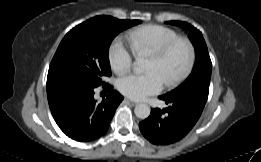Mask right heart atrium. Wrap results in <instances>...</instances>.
<instances>
[{"label":"right heart atrium","mask_w":261,"mask_h":162,"mask_svg":"<svg viewBox=\"0 0 261 162\" xmlns=\"http://www.w3.org/2000/svg\"><path fill=\"white\" fill-rule=\"evenodd\" d=\"M109 63L116 74L127 72L133 63V55L120 39L116 40L109 49Z\"/></svg>","instance_id":"right-heart-atrium-1"}]
</instances>
